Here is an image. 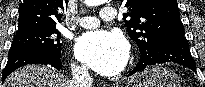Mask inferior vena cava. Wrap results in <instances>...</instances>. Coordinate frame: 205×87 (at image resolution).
<instances>
[{
	"label": "inferior vena cava",
	"mask_w": 205,
	"mask_h": 87,
	"mask_svg": "<svg viewBox=\"0 0 205 87\" xmlns=\"http://www.w3.org/2000/svg\"><path fill=\"white\" fill-rule=\"evenodd\" d=\"M72 80L69 87H92V78L86 66L72 67Z\"/></svg>",
	"instance_id": "1"
}]
</instances>
